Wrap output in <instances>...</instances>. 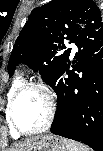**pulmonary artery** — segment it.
Returning a JSON list of instances; mask_svg holds the SVG:
<instances>
[{"label":"pulmonary artery","mask_w":103,"mask_h":151,"mask_svg":"<svg viewBox=\"0 0 103 151\" xmlns=\"http://www.w3.org/2000/svg\"><path fill=\"white\" fill-rule=\"evenodd\" d=\"M70 47L72 48V52L76 53L78 51L77 46L75 43L70 44Z\"/></svg>","instance_id":"pulmonary-artery-1"}]
</instances>
